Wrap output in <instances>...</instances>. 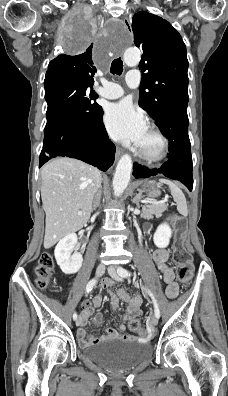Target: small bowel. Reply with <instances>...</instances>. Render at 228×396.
I'll return each instance as SVG.
<instances>
[{"label":"small bowel","mask_w":228,"mask_h":396,"mask_svg":"<svg viewBox=\"0 0 228 396\" xmlns=\"http://www.w3.org/2000/svg\"><path fill=\"white\" fill-rule=\"evenodd\" d=\"M153 260L156 263L159 271L162 273L164 282L166 283V294L169 298H175L178 295V284L174 281V272L171 265L168 263V253L166 250L161 248H156L153 252ZM116 283L111 279H105L102 282V288L106 290L112 307L115 311L118 310L119 301L122 300L127 304V314L125 316V321H130L139 315H141L140 306L142 299L140 295H129L124 289L119 288L115 292L111 291L110 288ZM102 303L101 295L97 294L92 298V301H86L82 305L81 312V328L77 331V336L79 343L83 346H88L91 344L98 343L105 339H134L139 341H146V337L143 334L136 333L135 336L125 334L126 326L121 324L116 331L113 328H107L106 335L102 337H91L87 335L84 326L87 325L89 318L91 317L93 310L100 307ZM93 322L96 325H100L103 322L102 313H96L93 317Z\"/></svg>","instance_id":"1"}]
</instances>
